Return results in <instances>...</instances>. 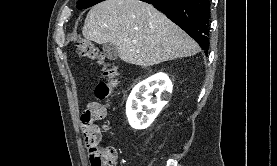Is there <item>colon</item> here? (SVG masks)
<instances>
[{"mask_svg":"<svg viewBox=\"0 0 277 166\" xmlns=\"http://www.w3.org/2000/svg\"><path fill=\"white\" fill-rule=\"evenodd\" d=\"M75 47L81 57L96 61L102 68L103 81L97 84L95 96L98 100L108 102L117 87L118 71L111 63L104 60L100 52L87 40L78 38ZM81 125L86 141L90 146L92 166H116V152L111 147H100V130L92 122L89 111L81 116Z\"/></svg>","mask_w":277,"mask_h":166,"instance_id":"colon-1","label":"colon"}]
</instances>
